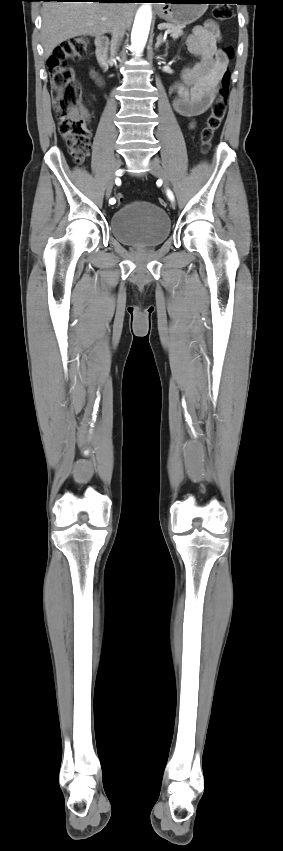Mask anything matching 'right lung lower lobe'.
<instances>
[{"instance_id":"1","label":"right lung lower lobe","mask_w":283,"mask_h":851,"mask_svg":"<svg viewBox=\"0 0 283 851\" xmlns=\"http://www.w3.org/2000/svg\"><path fill=\"white\" fill-rule=\"evenodd\" d=\"M43 1H74V0H43ZM83 1H94V2H141V0H83Z\"/></svg>"}]
</instances>
